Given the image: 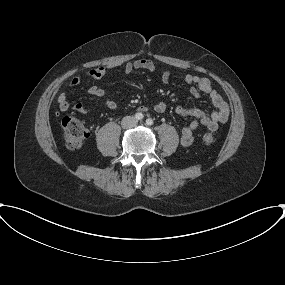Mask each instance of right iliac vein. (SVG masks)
<instances>
[{
    "label": "right iliac vein",
    "instance_id": "obj_1",
    "mask_svg": "<svg viewBox=\"0 0 285 285\" xmlns=\"http://www.w3.org/2000/svg\"><path fill=\"white\" fill-rule=\"evenodd\" d=\"M129 124H130V119H125V120H123V122H122V126L125 128V127H128L129 126Z\"/></svg>",
    "mask_w": 285,
    "mask_h": 285
}]
</instances>
